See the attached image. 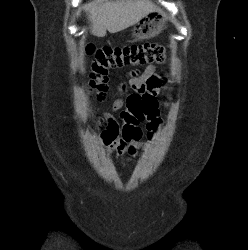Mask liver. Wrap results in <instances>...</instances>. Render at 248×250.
Listing matches in <instances>:
<instances>
[{
    "label": "liver",
    "instance_id": "6515ba94",
    "mask_svg": "<svg viewBox=\"0 0 248 250\" xmlns=\"http://www.w3.org/2000/svg\"><path fill=\"white\" fill-rule=\"evenodd\" d=\"M92 21V34L104 37L106 31L120 32L138 23L156 9L149 0H116L99 4L97 1L86 5Z\"/></svg>",
    "mask_w": 248,
    "mask_h": 250
}]
</instances>
